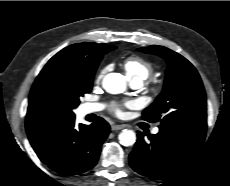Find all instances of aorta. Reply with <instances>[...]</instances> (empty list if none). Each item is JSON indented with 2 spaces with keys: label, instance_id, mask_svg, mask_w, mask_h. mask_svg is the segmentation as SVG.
Here are the masks:
<instances>
[{
  "label": "aorta",
  "instance_id": "aorta-1",
  "mask_svg": "<svg viewBox=\"0 0 230 186\" xmlns=\"http://www.w3.org/2000/svg\"><path fill=\"white\" fill-rule=\"evenodd\" d=\"M103 88L111 94L123 93L126 90V79L119 73H109L102 81ZM123 146H132L136 142V134L132 130H123L118 136Z\"/></svg>",
  "mask_w": 230,
  "mask_h": 186
}]
</instances>
